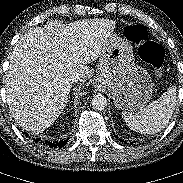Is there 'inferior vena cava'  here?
I'll return each mask as SVG.
<instances>
[{
	"mask_svg": "<svg viewBox=\"0 0 183 183\" xmlns=\"http://www.w3.org/2000/svg\"><path fill=\"white\" fill-rule=\"evenodd\" d=\"M68 80H69L70 82H72V83H76V82H78V81H81V78H80V76H79L78 73L72 72V73L69 75Z\"/></svg>",
	"mask_w": 183,
	"mask_h": 183,
	"instance_id": "obj_1",
	"label": "inferior vena cava"
}]
</instances>
